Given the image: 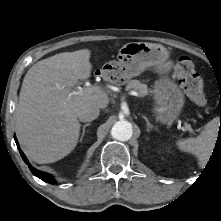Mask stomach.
Segmentation results:
<instances>
[{"mask_svg": "<svg viewBox=\"0 0 221 221\" xmlns=\"http://www.w3.org/2000/svg\"><path fill=\"white\" fill-rule=\"evenodd\" d=\"M169 51L160 44L130 42L120 48L117 60L107 62L104 72L108 78L119 84L128 82L146 69H152L159 75L152 93L158 119L171 124L179 116L184 103V94L168 74L173 67L169 60Z\"/></svg>", "mask_w": 221, "mask_h": 221, "instance_id": "1", "label": "stomach"}]
</instances>
